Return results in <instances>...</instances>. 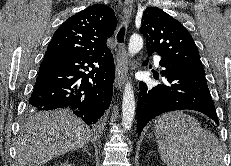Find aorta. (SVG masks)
Returning <instances> with one entry per match:
<instances>
[{
    "instance_id": "aorta-1",
    "label": "aorta",
    "mask_w": 231,
    "mask_h": 166,
    "mask_svg": "<svg viewBox=\"0 0 231 166\" xmlns=\"http://www.w3.org/2000/svg\"><path fill=\"white\" fill-rule=\"evenodd\" d=\"M143 48V39L138 34H133L128 44L130 55H135ZM135 116V97L133 87L130 82L125 84L122 100V125L125 130L132 126Z\"/></svg>"
}]
</instances>
